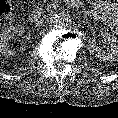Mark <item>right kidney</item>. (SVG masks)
Masks as SVG:
<instances>
[{"label": "right kidney", "instance_id": "right-kidney-1", "mask_svg": "<svg viewBox=\"0 0 118 118\" xmlns=\"http://www.w3.org/2000/svg\"><path fill=\"white\" fill-rule=\"evenodd\" d=\"M25 31V28L23 25L18 24V25H13L10 26L9 28L5 29L1 34H0V54L3 56H10V55H15L16 51H13L9 48L7 42L15 35V34H23Z\"/></svg>", "mask_w": 118, "mask_h": 118}]
</instances>
